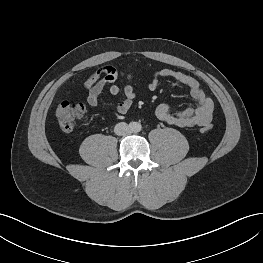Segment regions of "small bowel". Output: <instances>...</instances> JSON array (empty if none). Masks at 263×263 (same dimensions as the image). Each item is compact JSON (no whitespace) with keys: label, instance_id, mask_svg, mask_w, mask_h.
I'll list each match as a JSON object with an SVG mask.
<instances>
[{"label":"small bowel","instance_id":"small-bowel-1","mask_svg":"<svg viewBox=\"0 0 263 263\" xmlns=\"http://www.w3.org/2000/svg\"><path fill=\"white\" fill-rule=\"evenodd\" d=\"M111 70V67H105L98 72L90 75L84 81V88L87 91L86 102L91 107L99 106V99L106 86L109 85V93L113 96L123 94L124 98L117 106L116 111L119 114H126L131 108L136 97L134 88L126 84L123 87L114 84L115 80H109L102 70ZM165 78H172L179 84L185 86L196 101V107H189L184 111H173L168 105L161 104L156 109V117L167 124L177 127H202L209 124L214 112L212 100L205 94L199 82L192 76L177 70L163 68L156 71L149 82L150 90L159 88L161 81Z\"/></svg>","mask_w":263,"mask_h":263}]
</instances>
